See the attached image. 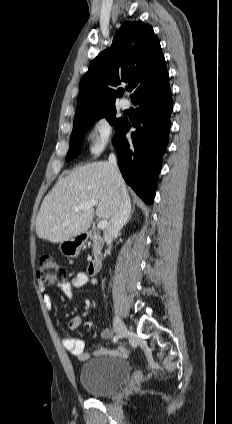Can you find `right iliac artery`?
<instances>
[{
	"label": "right iliac artery",
	"instance_id": "82829eb1",
	"mask_svg": "<svg viewBox=\"0 0 232 424\" xmlns=\"http://www.w3.org/2000/svg\"><path fill=\"white\" fill-rule=\"evenodd\" d=\"M117 340H118V336H117V335H115V336L113 337V342L115 343V342H117Z\"/></svg>",
	"mask_w": 232,
	"mask_h": 424
}]
</instances>
